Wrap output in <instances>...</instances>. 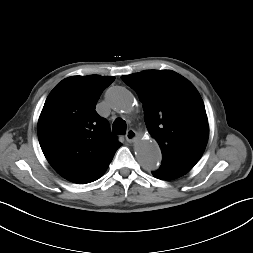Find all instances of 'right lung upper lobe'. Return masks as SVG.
I'll return each instance as SVG.
<instances>
[{
    "label": "right lung upper lobe",
    "mask_w": 253,
    "mask_h": 253,
    "mask_svg": "<svg viewBox=\"0 0 253 253\" xmlns=\"http://www.w3.org/2000/svg\"><path fill=\"white\" fill-rule=\"evenodd\" d=\"M113 76H72L47 97L37 131L41 149L65 179L79 184L97 180L121 143L109 136L108 122L95 111Z\"/></svg>",
    "instance_id": "obj_1"
}]
</instances>
